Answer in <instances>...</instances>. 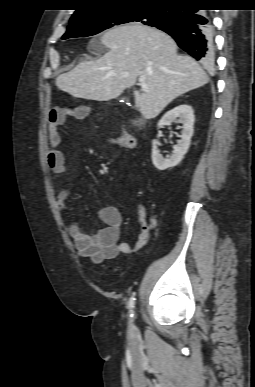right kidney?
I'll use <instances>...</instances> for the list:
<instances>
[{
    "label": "right kidney",
    "instance_id": "obj_1",
    "mask_svg": "<svg viewBox=\"0 0 255 387\" xmlns=\"http://www.w3.org/2000/svg\"><path fill=\"white\" fill-rule=\"evenodd\" d=\"M173 122L181 123L182 132L181 139L178 140L177 145L173 147V153L164 158L159 152L155 140H153L152 148V162L158 170H165L174 167L180 163L190 146L191 137L193 135L194 112L189 105H179L174 109L165 113L158 123V127L169 126Z\"/></svg>",
    "mask_w": 255,
    "mask_h": 387
}]
</instances>
